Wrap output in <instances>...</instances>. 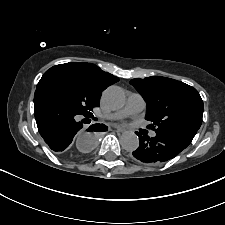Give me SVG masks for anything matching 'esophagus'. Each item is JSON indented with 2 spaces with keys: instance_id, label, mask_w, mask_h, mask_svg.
<instances>
[{
  "instance_id": "obj_1",
  "label": "esophagus",
  "mask_w": 225,
  "mask_h": 225,
  "mask_svg": "<svg viewBox=\"0 0 225 225\" xmlns=\"http://www.w3.org/2000/svg\"><path fill=\"white\" fill-rule=\"evenodd\" d=\"M115 130H116V132H118V133H122L124 130L121 128V127H119V126H116L115 127Z\"/></svg>"
}]
</instances>
